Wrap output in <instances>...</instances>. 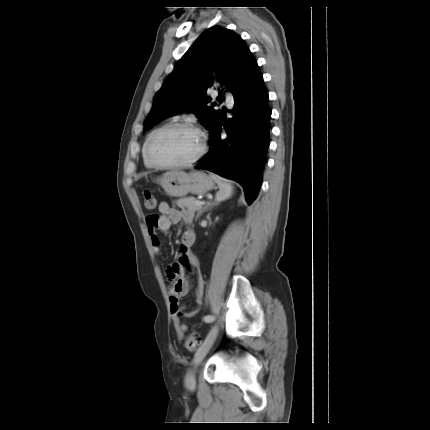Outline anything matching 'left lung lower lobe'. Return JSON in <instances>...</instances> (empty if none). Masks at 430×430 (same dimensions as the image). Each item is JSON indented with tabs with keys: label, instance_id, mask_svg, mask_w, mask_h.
Listing matches in <instances>:
<instances>
[{
	"label": "left lung lower lobe",
	"instance_id": "left-lung-lower-lobe-1",
	"mask_svg": "<svg viewBox=\"0 0 430 430\" xmlns=\"http://www.w3.org/2000/svg\"><path fill=\"white\" fill-rule=\"evenodd\" d=\"M233 97V118L222 120L220 113L213 120L208 128L210 151L195 168L237 181L251 204L260 189L270 145L271 109L260 70L249 81L243 79L235 87Z\"/></svg>",
	"mask_w": 430,
	"mask_h": 430
}]
</instances>
